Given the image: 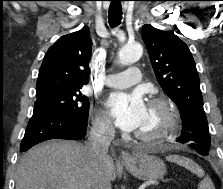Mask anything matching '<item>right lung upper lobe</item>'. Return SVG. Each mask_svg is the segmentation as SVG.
I'll return each mask as SVG.
<instances>
[{
    "label": "right lung upper lobe",
    "mask_w": 223,
    "mask_h": 189,
    "mask_svg": "<svg viewBox=\"0 0 223 189\" xmlns=\"http://www.w3.org/2000/svg\"><path fill=\"white\" fill-rule=\"evenodd\" d=\"M92 41L88 27L60 37L44 56L36 93L82 87L89 82Z\"/></svg>",
    "instance_id": "right-lung-upper-lobe-1"
}]
</instances>
